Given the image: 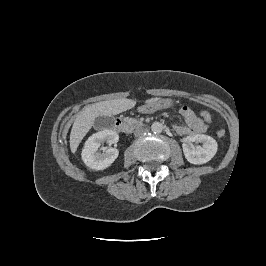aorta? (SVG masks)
Masks as SVG:
<instances>
[{
  "label": "aorta",
  "instance_id": "aorta-1",
  "mask_svg": "<svg viewBox=\"0 0 266 266\" xmlns=\"http://www.w3.org/2000/svg\"><path fill=\"white\" fill-rule=\"evenodd\" d=\"M163 128H164V126L160 122H154L151 125V130L153 133H161L163 131Z\"/></svg>",
  "mask_w": 266,
  "mask_h": 266
}]
</instances>
